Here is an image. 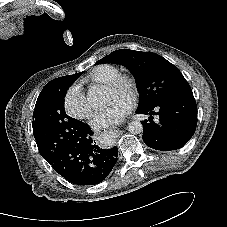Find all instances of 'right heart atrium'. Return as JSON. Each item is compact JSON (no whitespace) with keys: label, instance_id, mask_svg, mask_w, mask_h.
Returning <instances> with one entry per match:
<instances>
[{"label":"right heart atrium","instance_id":"obj_1","mask_svg":"<svg viewBox=\"0 0 227 227\" xmlns=\"http://www.w3.org/2000/svg\"><path fill=\"white\" fill-rule=\"evenodd\" d=\"M63 107L69 116L78 120L87 119L93 113L92 107L78 85H72L67 89L63 97Z\"/></svg>","mask_w":227,"mask_h":227}]
</instances>
